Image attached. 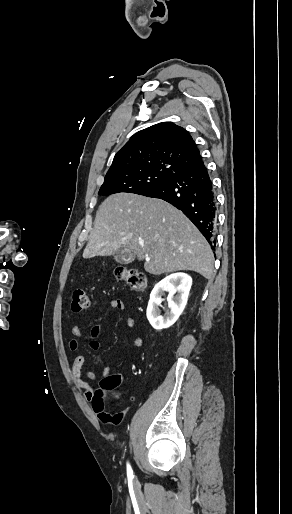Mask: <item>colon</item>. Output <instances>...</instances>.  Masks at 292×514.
I'll use <instances>...</instances> for the list:
<instances>
[{"instance_id": "colon-1", "label": "colon", "mask_w": 292, "mask_h": 514, "mask_svg": "<svg viewBox=\"0 0 292 514\" xmlns=\"http://www.w3.org/2000/svg\"><path fill=\"white\" fill-rule=\"evenodd\" d=\"M116 278L124 284H127L135 293H144L147 287L146 274L140 272V268L134 265L132 268L118 266L115 269ZM89 307V299L86 292L78 288L74 292L72 301V311L74 313L86 312ZM119 377L109 375L101 379L99 387L93 394V401L97 403L94 411L98 413L102 420L107 421L111 418L114 423H120L127 411H120L111 416L110 412L104 410L106 404L112 399L117 400L119 395L116 393ZM112 393H115L113 396Z\"/></svg>"}]
</instances>
